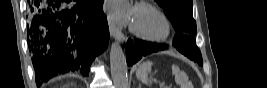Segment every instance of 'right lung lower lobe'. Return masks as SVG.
Listing matches in <instances>:
<instances>
[{"label": "right lung lower lobe", "mask_w": 267, "mask_h": 88, "mask_svg": "<svg viewBox=\"0 0 267 88\" xmlns=\"http://www.w3.org/2000/svg\"><path fill=\"white\" fill-rule=\"evenodd\" d=\"M103 1H30L27 42L37 82L71 71L89 74L95 56L108 44Z\"/></svg>", "instance_id": "right-lung-lower-lobe-1"}]
</instances>
